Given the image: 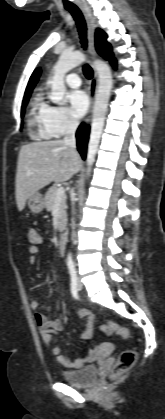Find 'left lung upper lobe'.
<instances>
[{
	"label": "left lung upper lobe",
	"mask_w": 165,
	"mask_h": 419,
	"mask_svg": "<svg viewBox=\"0 0 165 419\" xmlns=\"http://www.w3.org/2000/svg\"><path fill=\"white\" fill-rule=\"evenodd\" d=\"M107 35L101 29H97L95 33V46L99 55L106 60L113 59V53L110 44L106 41Z\"/></svg>",
	"instance_id": "1"
}]
</instances>
